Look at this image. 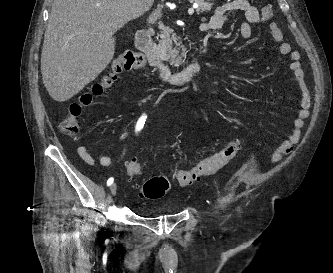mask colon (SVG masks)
<instances>
[{"instance_id": "5ec220e1", "label": "colon", "mask_w": 333, "mask_h": 273, "mask_svg": "<svg viewBox=\"0 0 333 273\" xmlns=\"http://www.w3.org/2000/svg\"><path fill=\"white\" fill-rule=\"evenodd\" d=\"M273 16L274 11L272 7L266 6L262 8L263 21H269ZM144 65L145 58L135 51H125L115 58L109 71L86 92L82 93L77 101L69 105L67 114L61 123L62 132L67 136L77 137L80 134L79 119L83 108L89 106L95 98L100 97L105 90L110 88L118 75L123 71L140 68ZM240 148L241 142L239 140H233L215 154L201 160L191 169L175 172L174 178L180 186H189L199 181L202 176L211 175L227 165L236 157ZM125 171L128 181L133 187L137 188L141 196L145 198H161L170 187L169 179L163 175L153 176L144 182H139L138 179L143 173V166L137 160L127 161Z\"/></svg>"}]
</instances>
